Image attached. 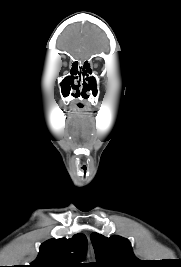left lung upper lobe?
<instances>
[{"instance_id": "1", "label": "left lung upper lobe", "mask_w": 181, "mask_h": 267, "mask_svg": "<svg viewBox=\"0 0 181 267\" xmlns=\"http://www.w3.org/2000/svg\"><path fill=\"white\" fill-rule=\"evenodd\" d=\"M90 238L96 256L93 267H142L145 264L134 256L130 242L123 237L107 238L92 233Z\"/></svg>"}]
</instances>
